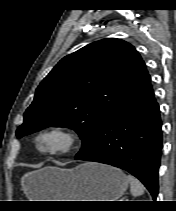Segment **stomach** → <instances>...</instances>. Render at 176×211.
<instances>
[{
    "label": "stomach",
    "instance_id": "obj_1",
    "mask_svg": "<svg viewBox=\"0 0 176 211\" xmlns=\"http://www.w3.org/2000/svg\"><path fill=\"white\" fill-rule=\"evenodd\" d=\"M127 187L120 169L92 162L73 169L46 167L23 178L31 201H116Z\"/></svg>",
    "mask_w": 176,
    "mask_h": 211
}]
</instances>
